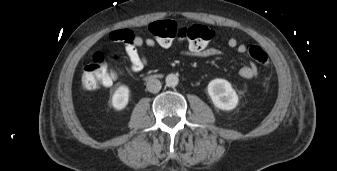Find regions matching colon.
<instances>
[{
  "label": "colon",
  "mask_w": 337,
  "mask_h": 171,
  "mask_svg": "<svg viewBox=\"0 0 337 171\" xmlns=\"http://www.w3.org/2000/svg\"><path fill=\"white\" fill-rule=\"evenodd\" d=\"M149 32L163 48H171L176 42L187 43L193 52H200L212 39L213 30L202 24L179 25L173 20L154 21L149 25ZM248 53L259 65L267 67L270 63L266 52L257 44H250ZM112 60L100 51L91 56L81 73V86L84 90H97L112 84L118 71Z\"/></svg>",
  "instance_id": "colon-1"
}]
</instances>
